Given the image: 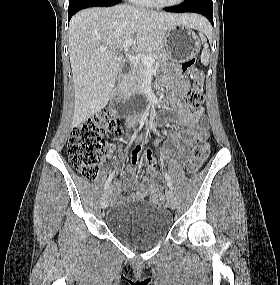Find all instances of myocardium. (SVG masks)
Returning <instances> with one entry per match:
<instances>
[{
    "instance_id": "myocardium-1",
    "label": "myocardium",
    "mask_w": 280,
    "mask_h": 285,
    "mask_svg": "<svg viewBox=\"0 0 280 285\" xmlns=\"http://www.w3.org/2000/svg\"><path fill=\"white\" fill-rule=\"evenodd\" d=\"M184 0H175L171 3H163L160 0H150V2L160 8H172L180 5Z\"/></svg>"
}]
</instances>
